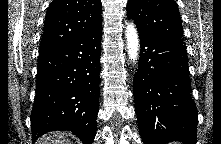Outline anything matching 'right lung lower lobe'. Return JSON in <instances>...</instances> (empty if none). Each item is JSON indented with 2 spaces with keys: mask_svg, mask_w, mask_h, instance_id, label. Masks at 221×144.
<instances>
[{
  "mask_svg": "<svg viewBox=\"0 0 221 144\" xmlns=\"http://www.w3.org/2000/svg\"><path fill=\"white\" fill-rule=\"evenodd\" d=\"M102 27L64 46L40 54L31 112L32 140L68 130L92 144L100 96Z\"/></svg>",
  "mask_w": 221,
  "mask_h": 144,
  "instance_id": "98d812e1",
  "label": "right lung lower lobe"
}]
</instances>
